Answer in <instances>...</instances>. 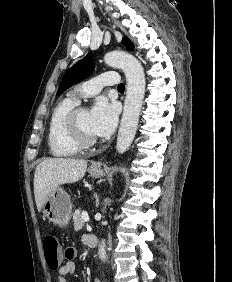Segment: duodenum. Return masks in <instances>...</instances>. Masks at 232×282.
Wrapping results in <instances>:
<instances>
[{
  "instance_id": "obj_1",
  "label": "duodenum",
  "mask_w": 232,
  "mask_h": 282,
  "mask_svg": "<svg viewBox=\"0 0 232 282\" xmlns=\"http://www.w3.org/2000/svg\"><path fill=\"white\" fill-rule=\"evenodd\" d=\"M98 244V239L95 235H87L86 238V245L91 247V248H95Z\"/></svg>"
}]
</instances>
